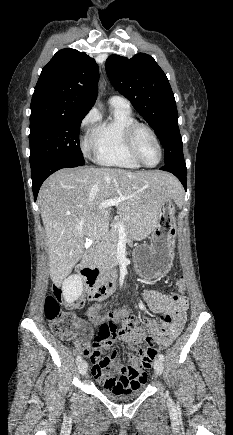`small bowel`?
<instances>
[{"instance_id": "obj_1", "label": "small bowel", "mask_w": 233, "mask_h": 435, "mask_svg": "<svg viewBox=\"0 0 233 435\" xmlns=\"http://www.w3.org/2000/svg\"><path fill=\"white\" fill-rule=\"evenodd\" d=\"M115 288L116 282L113 281L110 284V293L113 292ZM175 289L179 293L183 292L185 289L184 281L178 280L175 284ZM143 298L151 312L162 315L163 319L164 317L166 318L164 320L165 322H156L148 316H143L141 318L142 323L154 331V334L157 336L158 346H164L169 339L175 336L183 327L186 321L188 299L178 294L168 296L162 294L157 289L145 290L143 292ZM63 304L68 305L69 303L63 302ZM97 309L98 306H93L90 310L96 311ZM128 312L129 310L127 309H121L115 311L110 319L101 320L98 335L102 338V344L99 347L90 348V350H101L110 347L112 345V340L116 338L117 322ZM82 324L86 329H89V324L87 322H83ZM119 338L131 345L135 343L134 331L123 332L120 334ZM77 342L79 344L87 343L86 331H83L78 335ZM109 358L110 362L108 364L93 363L92 373L98 384L116 388V386L112 384V380L114 379L112 376L113 374L132 376L133 372L123 366V361L117 354L111 353ZM128 358L135 363L138 361V358L133 354H129ZM135 367L137 369V375L133 381L140 384L147 377L149 369L146 365Z\"/></svg>"}]
</instances>
